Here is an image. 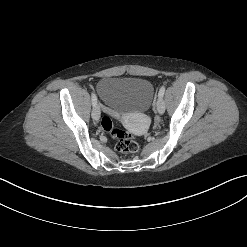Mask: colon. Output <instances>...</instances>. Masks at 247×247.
Segmentation results:
<instances>
[{
    "label": "colon",
    "mask_w": 247,
    "mask_h": 247,
    "mask_svg": "<svg viewBox=\"0 0 247 247\" xmlns=\"http://www.w3.org/2000/svg\"><path fill=\"white\" fill-rule=\"evenodd\" d=\"M103 130L108 132L116 140V149L123 154H132L138 150V144L128 132L114 126L109 116H104L101 121Z\"/></svg>",
    "instance_id": "obj_1"
}]
</instances>
